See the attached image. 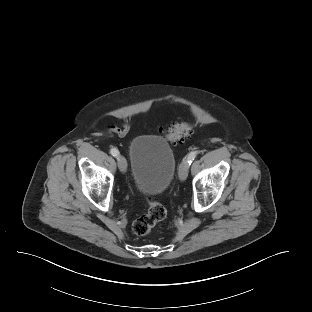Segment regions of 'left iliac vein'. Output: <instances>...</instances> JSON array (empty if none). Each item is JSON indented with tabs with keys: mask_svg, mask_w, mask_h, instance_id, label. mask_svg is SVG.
Segmentation results:
<instances>
[{
	"mask_svg": "<svg viewBox=\"0 0 312 312\" xmlns=\"http://www.w3.org/2000/svg\"><path fill=\"white\" fill-rule=\"evenodd\" d=\"M189 164L186 160H183L179 166L178 176L180 181H185L188 176Z\"/></svg>",
	"mask_w": 312,
	"mask_h": 312,
	"instance_id": "4c4485c4",
	"label": "left iliac vein"
}]
</instances>
